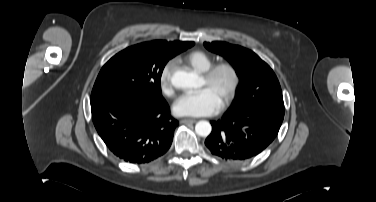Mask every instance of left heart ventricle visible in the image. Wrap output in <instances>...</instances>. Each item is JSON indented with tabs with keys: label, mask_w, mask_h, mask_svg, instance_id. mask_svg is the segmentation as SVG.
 Segmentation results:
<instances>
[{
	"label": "left heart ventricle",
	"mask_w": 376,
	"mask_h": 202,
	"mask_svg": "<svg viewBox=\"0 0 376 202\" xmlns=\"http://www.w3.org/2000/svg\"><path fill=\"white\" fill-rule=\"evenodd\" d=\"M229 83H230V77L227 73L224 72V73H221L217 77L215 82L212 83V84H207L203 79L202 86H206V87L210 88L214 92V94L216 95V97L218 98V100L221 103L223 98H224V95L227 92Z\"/></svg>",
	"instance_id": "1"
}]
</instances>
